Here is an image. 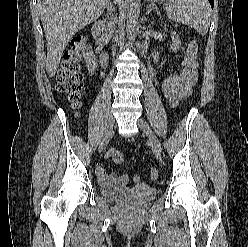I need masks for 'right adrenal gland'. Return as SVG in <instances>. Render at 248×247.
Instances as JSON below:
<instances>
[{
  "label": "right adrenal gland",
  "mask_w": 248,
  "mask_h": 247,
  "mask_svg": "<svg viewBox=\"0 0 248 247\" xmlns=\"http://www.w3.org/2000/svg\"><path fill=\"white\" fill-rule=\"evenodd\" d=\"M110 9H111V6H110V4H108V7H107L108 14H109ZM106 19H107V17L105 18V21H106Z\"/></svg>",
  "instance_id": "1"
}]
</instances>
